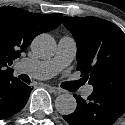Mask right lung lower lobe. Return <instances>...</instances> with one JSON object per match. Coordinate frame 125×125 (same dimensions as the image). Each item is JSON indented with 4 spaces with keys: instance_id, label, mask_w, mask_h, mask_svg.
I'll list each match as a JSON object with an SVG mask.
<instances>
[{
    "instance_id": "obj_1",
    "label": "right lung lower lobe",
    "mask_w": 125,
    "mask_h": 125,
    "mask_svg": "<svg viewBox=\"0 0 125 125\" xmlns=\"http://www.w3.org/2000/svg\"><path fill=\"white\" fill-rule=\"evenodd\" d=\"M31 88L16 77L0 80V120L13 116L27 103Z\"/></svg>"
}]
</instances>
